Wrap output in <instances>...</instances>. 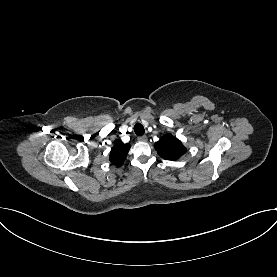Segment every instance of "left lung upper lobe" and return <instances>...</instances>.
I'll use <instances>...</instances> for the list:
<instances>
[{
    "mask_svg": "<svg viewBox=\"0 0 277 277\" xmlns=\"http://www.w3.org/2000/svg\"><path fill=\"white\" fill-rule=\"evenodd\" d=\"M158 154L166 160H177L186 153L182 142L171 134L164 135L155 143Z\"/></svg>",
    "mask_w": 277,
    "mask_h": 277,
    "instance_id": "obj_1",
    "label": "left lung upper lobe"
}]
</instances>
